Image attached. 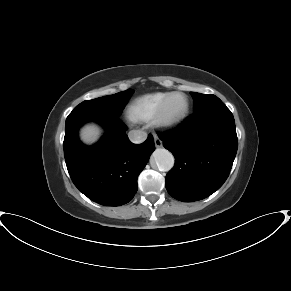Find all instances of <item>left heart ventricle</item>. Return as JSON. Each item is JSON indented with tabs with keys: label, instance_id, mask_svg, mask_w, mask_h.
Listing matches in <instances>:
<instances>
[{
	"label": "left heart ventricle",
	"instance_id": "left-heart-ventricle-1",
	"mask_svg": "<svg viewBox=\"0 0 291 291\" xmlns=\"http://www.w3.org/2000/svg\"><path fill=\"white\" fill-rule=\"evenodd\" d=\"M185 106V100L182 96L174 97L169 106V113L172 116L179 115Z\"/></svg>",
	"mask_w": 291,
	"mask_h": 291
}]
</instances>
